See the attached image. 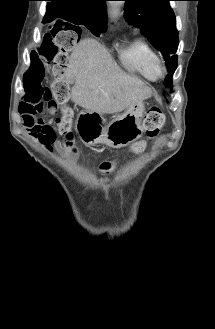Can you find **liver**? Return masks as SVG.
<instances>
[{
    "label": "liver",
    "mask_w": 215,
    "mask_h": 329,
    "mask_svg": "<svg viewBox=\"0 0 215 329\" xmlns=\"http://www.w3.org/2000/svg\"><path fill=\"white\" fill-rule=\"evenodd\" d=\"M65 76L67 83H74L72 101L98 114L121 112L152 95L143 81L125 73L94 39L75 46Z\"/></svg>",
    "instance_id": "1"
}]
</instances>
